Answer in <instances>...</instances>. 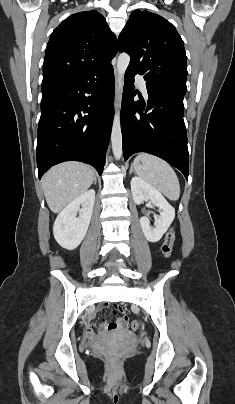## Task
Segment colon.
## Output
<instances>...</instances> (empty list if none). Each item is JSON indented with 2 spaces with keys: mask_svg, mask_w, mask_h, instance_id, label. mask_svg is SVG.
Listing matches in <instances>:
<instances>
[{
  "mask_svg": "<svg viewBox=\"0 0 235 404\" xmlns=\"http://www.w3.org/2000/svg\"><path fill=\"white\" fill-rule=\"evenodd\" d=\"M175 230L171 228L165 235L164 242L161 247L162 254L164 257L169 258L171 256L172 248L175 242ZM113 312H116V310H113ZM125 327L129 326L130 330L136 331L139 328V325L136 321H132L129 323L127 317H122L119 318L117 321H110L107 322V328L108 329H114L115 327ZM113 360V357L111 358Z\"/></svg>",
  "mask_w": 235,
  "mask_h": 404,
  "instance_id": "1",
  "label": "colon"
}]
</instances>
